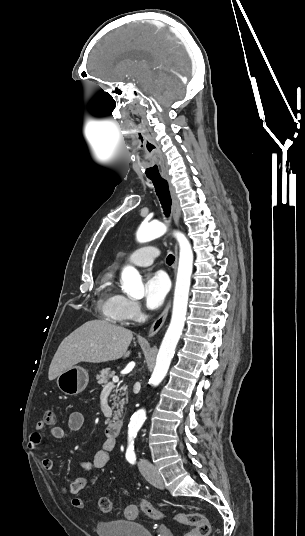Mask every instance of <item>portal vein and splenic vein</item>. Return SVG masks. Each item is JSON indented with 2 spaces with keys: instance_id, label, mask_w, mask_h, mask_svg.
I'll use <instances>...</instances> for the list:
<instances>
[{
  "instance_id": "obj_1",
  "label": "portal vein and splenic vein",
  "mask_w": 305,
  "mask_h": 536,
  "mask_svg": "<svg viewBox=\"0 0 305 536\" xmlns=\"http://www.w3.org/2000/svg\"><path fill=\"white\" fill-rule=\"evenodd\" d=\"M115 382H119L118 376H113L112 382H109V384H106L105 390L106 388H113V384H115Z\"/></svg>"
}]
</instances>
